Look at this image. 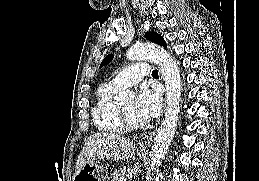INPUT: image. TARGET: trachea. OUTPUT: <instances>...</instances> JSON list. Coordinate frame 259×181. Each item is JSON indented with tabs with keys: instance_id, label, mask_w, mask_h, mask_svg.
I'll return each mask as SVG.
<instances>
[{
	"instance_id": "1",
	"label": "trachea",
	"mask_w": 259,
	"mask_h": 181,
	"mask_svg": "<svg viewBox=\"0 0 259 181\" xmlns=\"http://www.w3.org/2000/svg\"><path fill=\"white\" fill-rule=\"evenodd\" d=\"M152 76H158V71L157 70H153Z\"/></svg>"
}]
</instances>
